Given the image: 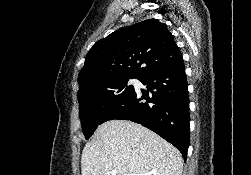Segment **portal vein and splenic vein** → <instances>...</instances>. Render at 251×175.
Instances as JSON below:
<instances>
[{
    "instance_id": "obj_1",
    "label": "portal vein and splenic vein",
    "mask_w": 251,
    "mask_h": 175,
    "mask_svg": "<svg viewBox=\"0 0 251 175\" xmlns=\"http://www.w3.org/2000/svg\"><path fill=\"white\" fill-rule=\"evenodd\" d=\"M111 175H117L116 169H112ZM124 175H148V173H124Z\"/></svg>"
}]
</instances>
